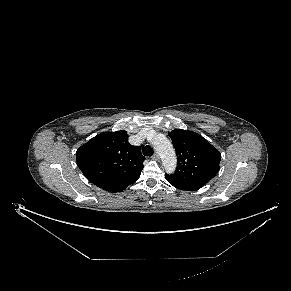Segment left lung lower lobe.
<instances>
[{"mask_svg":"<svg viewBox=\"0 0 291 291\" xmlns=\"http://www.w3.org/2000/svg\"><path fill=\"white\" fill-rule=\"evenodd\" d=\"M166 180L173 185L174 187L181 189V190H186V191H196L198 189H200L202 186L200 185H182V184H176L173 183L172 181H170L168 178H166Z\"/></svg>","mask_w":291,"mask_h":291,"instance_id":"obj_1","label":"left lung lower lobe"}]
</instances>
